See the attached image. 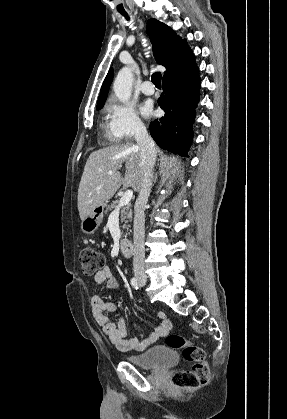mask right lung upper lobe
I'll use <instances>...</instances> for the list:
<instances>
[{
  "instance_id": "cb5924a9",
  "label": "right lung upper lobe",
  "mask_w": 287,
  "mask_h": 419,
  "mask_svg": "<svg viewBox=\"0 0 287 419\" xmlns=\"http://www.w3.org/2000/svg\"><path fill=\"white\" fill-rule=\"evenodd\" d=\"M147 34L153 46L155 60L166 68L163 78L178 75L196 65L194 55L186 41L178 37L167 25L156 19H150L147 22ZM112 78L111 69L101 87L97 107L103 106Z\"/></svg>"
}]
</instances>
